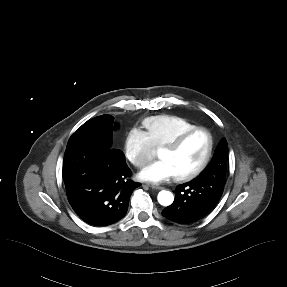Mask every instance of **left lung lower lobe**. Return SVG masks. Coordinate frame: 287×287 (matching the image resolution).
Instances as JSON below:
<instances>
[{
	"instance_id": "obj_1",
	"label": "left lung lower lobe",
	"mask_w": 287,
	"mask_h": 287,
	"mask_svg": "<svg viewBox=\"0 0 287 287\" xmlns=\"http://www.w3.org/2000/svg\"><path fill=\"white\" fill-rule=\"evenodd\" d=\"M225 180L214 177L210 185L191 181L178 185L174 190V202L162 211V215L174 222L187 224L207 215L217 204L224 190Z\"/></svg>"
}]
</instances>
